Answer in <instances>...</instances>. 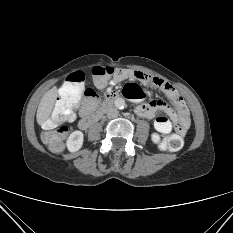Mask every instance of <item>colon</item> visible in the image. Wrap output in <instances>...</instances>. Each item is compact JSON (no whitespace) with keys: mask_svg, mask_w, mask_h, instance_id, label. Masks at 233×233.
I'll return each instance as SVG.
<instances>
[{"mask_svg":"<svg viewBox=\"0 0 233 233\" xmlns=\"http://www.w3.org/2000/svg\"><path fill=\"white\" fill-rule=\"evenodd\" d=\"M92 78L96 87H104L114 73L110 66H96L92 69ZM81 95L89 102L96 103L97 94L92 88H85V75L81 71L71 73L59 90V98L51 115L43 123L42 140L53 152H60L65 144L68 127L65 123L71 120L73 110L78 105ZM161 149L178 151L183 146V139L176 134L164 137Z\"/></svg>","mask_w":233,"mask_h":233,"instance_id":"colon-1","label":"colon"}]
</instances>
